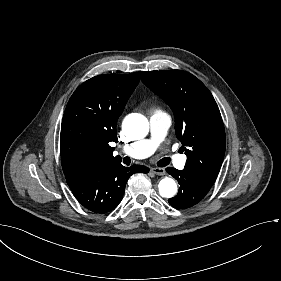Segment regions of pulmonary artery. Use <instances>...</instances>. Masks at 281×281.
<instances>
[{
  "mask_svg": "<svg viewBox=\"0 0 281 281\" xmlns=\"http://www.w3.org/2000/svg\"><path fill=\"white\" fill-rule=\"evenodd\" d=\"M171 119L164 112H155L147 123V129L151 132V137L142 139L123 148L122 153L127 158H136L140 154L150 155L156 151L160 142L165 138ZM186 157H183L180 166L183 167Z\"/></svg>",
  "mask_w": 281,
  "mask_h": 281,
  "instance_id": "1",
  "label": "pulmonary artery"
}]
</instances>
